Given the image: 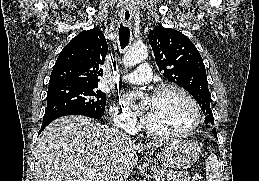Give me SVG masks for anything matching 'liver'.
<instances>
[{
	"label": "liver",
	"instance_id": "liver-1",
	"mask_svg": "<svg viewBox=\"0 0 259 181\" xmlns=\"http://www.w3.org/2000/svg\"><path fill=\"white\" fill-rule=\"evenodd\" d=\"M164 143L143 147L91 118L64 116L37 140L35 181H125L138 162L136 151L155 150ZM88 169L96 172L91 175Z\"/></svg>",
	"mask_w": 259,
	"mask_h": 181
}]
</instances>
